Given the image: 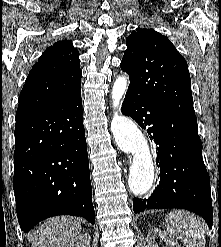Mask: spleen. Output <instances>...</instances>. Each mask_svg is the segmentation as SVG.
Returning a JSON list of instances; mask_svg holds the SVG:
<instances>
[{"label": "spleen", "instance_id": "obj_1", "mask_svg": "<svg viewBox=\"0 0 221 247\" xmlns=\"http://www.w3.org/2000/svg\"><path fill=\"white\" fill-rule=\"evenodd\" d=\"M167 232L181 240L186 247H204L205 230L202 221L183 210L171 211L166 215Z\"/></svg>", "mask_w": 221, "mask_h": 247}]
</instances>
